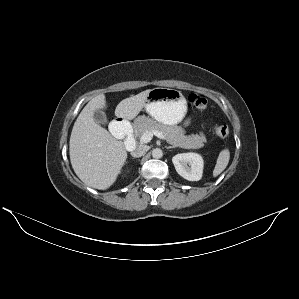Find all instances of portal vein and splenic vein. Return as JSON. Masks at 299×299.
<instances>
[{"instance_id":"portal-vein-and-splenic-vein-1","label":"portal vein and splenic vein","mask_w":299,"mask_h":299,"mask_svg":"<svg viewBox=\"0 0 299 299\" xmlns=\"http://www.w3.org/2000/svg\"><path fill=\"white\" fill-rule=\"evenodd\" d=\"M153 135H155L156 137L162 139V140H165V136L159 132V131H146L145 133H143L141 136H140V142L141 143H148L151 141Z\"/></svg>"}]
</instances>
